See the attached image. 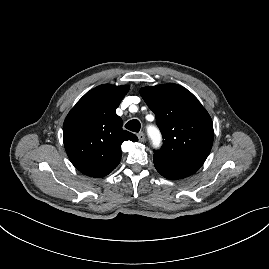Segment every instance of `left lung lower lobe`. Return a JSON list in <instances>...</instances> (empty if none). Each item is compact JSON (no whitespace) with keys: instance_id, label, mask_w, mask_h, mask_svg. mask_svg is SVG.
Returning a JSON list of instances; mask_svg holds the SVG:
<instances>
[{"instance_id":"left-lung-lower-lobe-1","label":"left lung lower lobe","mask_w":269,"mask_h":269,"mask_svg":"<svg viewBox=\"0 0 269 269\" xmlns=\"http://www.w3.org/2000/svg\"><path fill=\"white\" fill-rule=\"evenodd\" d=\"M203 162L164 158L154 154V165L157 171L168 179H182L195 173Z\"/></svg>"}]
</instances>
